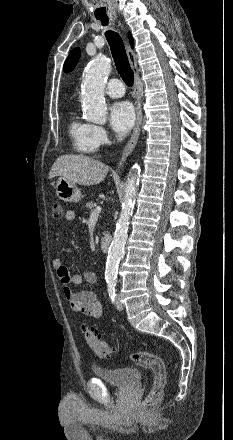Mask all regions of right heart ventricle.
<instances>
[{
    "label": "right heart ventricle",
    "instance_id": "1",
    "mask_svg": "<svg viewBox=\"0 0 233 440\" xmlns=\"http://www.w3.org/2000/svg\"><path fill=\"white\" fill-rule=\"evenodd\" d=\"M68 133L78 153L93 155L97 152L98 147L93 138V125L81 120L75 112L70 117Z\"/></svg>",
    "mask_w": 233,
    "mask_h": 440
}]
</instances>
